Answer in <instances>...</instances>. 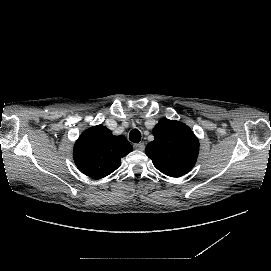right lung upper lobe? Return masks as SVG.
<instances>
[{
	"label": "right lung upper lobe",
	"instance_id": "right-lung-upper-lobe-1",
	"mask_svg": "<svg viewBox=\"0 0 271 271\" xmlns=\"http://www.w3.org/2000/svg\"><path fill=\"white\" fill-rule=\"evenodd\" d=\"M133 150L123 136H114L108 128L98 125L84 131L74 146L78 169L92 178H103L114 172L121 158Z\"/></svg>",
	"mask_w": 271,
	"mask_h": 271
}]
</instances>
